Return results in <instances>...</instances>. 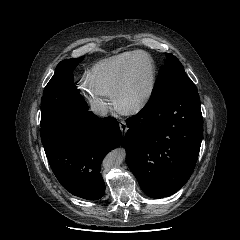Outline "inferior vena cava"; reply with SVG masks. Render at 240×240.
<instances>
[{
  "label": "inferior vena cava",
  "instance_id": "1",
  "mask_svg": "<svg viewBox=\"0 0 240 240\" xmlns=\"http://www.w3.org/2000/svg\"><path fill=\"white\" fill-rule=\"evenodd\" d=\"M91 111L100 117H105L108 113V105L102 99L91 101Z\"/></svg>",
  "mask_w": 240,
  "mask_h": 240
}]
</instances>
